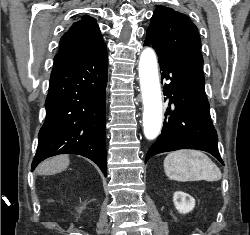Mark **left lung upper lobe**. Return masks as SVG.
<instances>
[{
    "label": "left lung upper lobe",
    "mask_w": 250,
    "mask_h": 235,
    "mask_svg": "<svg viewBox=\"0 0 250 235\" xmlns=\"http://www.w3.org/2000/svg\"><path fill=\"white\" fill-rule=\"evenodd\" d=\"M146 41L160 51H184L201 48L197 27L184 14L159 6L147 29Z\"/></svg>",
    "instance_id": "5c2ea615"
}]
</instances>
